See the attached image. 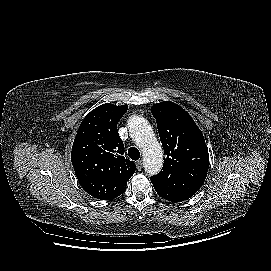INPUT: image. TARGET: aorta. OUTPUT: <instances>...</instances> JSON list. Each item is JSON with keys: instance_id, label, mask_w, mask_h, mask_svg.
Instances as JSON below:
<instances>
[{"instance_id": "aorta-1", "label": "aorta", "mask_w": 271, "mask_h": 271, "mask_svg": "<svg viewBox=\"0 0 271 271\" xmlns=\"http://www.w3.org/2000/svg\"><path fill=\"white\" fill-rule=\"evenodd\" d=\"M128 129L130 137L142 151L145 171L156 175L163 166V150L151 125L145 118L132 115L128 120Z\"/></svg>"}]
</instances>
